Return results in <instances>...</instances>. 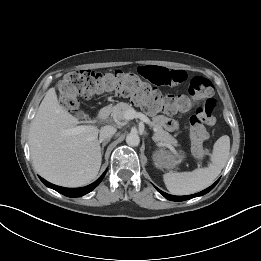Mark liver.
Listing matches in <instances>:
<instances>
[{
	"label": "liver",
	"instance_id": "1",
	"mask_svg": "<svg viewBox=\"0 0 261 261\" xmlns=\"http://www.w3.org/2000/svg\"><path fill=\"white\" fill-rule=\"evenodd\" d=\"M78 123L59 104L55 88H50L31 122L29 145L35 170L51 183L80 187L89 184L99 172V130L93 126L79 134H65Z\"/></svg>",
	"mask_w": 261,
	"mask_h": 261
}]
</instances>
